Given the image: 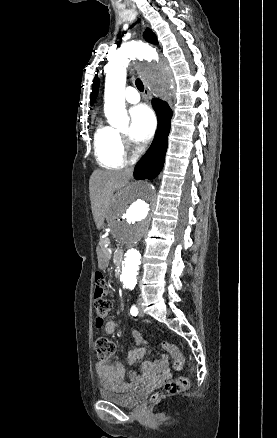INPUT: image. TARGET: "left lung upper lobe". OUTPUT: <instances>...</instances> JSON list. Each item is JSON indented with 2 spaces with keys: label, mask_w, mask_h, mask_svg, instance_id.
Wrapping results in <instances>:
<instances>
[{
  "label": "left lung upper lobe",
  "mask_w": 277,
  "mask_h": 438,
  "mask_svg": "<svg viewBox=\"0 0 277 438\" xmlns=\"http://www.w3.org/2000/svg\"><path fill=\"white\" fill-rule=\"evenodd\" d=\"M144 38L146 39V41L153 43V44H157V39L156 36L153 32H151L150 29H146V31L144 32ZM98 88H99V79L97 77V75L94 78L93 81V86H92V93H91V103L94 102L97 93H98Z\"/></svg>",
  "instance_id": "left-lung-upper-lobe-1"
}]
</instances>
